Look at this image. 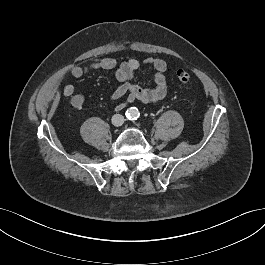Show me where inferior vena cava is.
I'll use <instances>...</instances> for the list:
<instances>
[{"instance_id": "obj_1", "label": "inferior vena cava", "mask_w": 265, "mask_h": 265, "mask_svg": "<svg viewBox=\"0 0 265 265\" xmlns=\"http://www.w3.org/2000/svg\"><path fill=\"white\" fill-rule=\"evenodd\" d=\"M112 123L115 126H121L124 123V117L120 114H115L112 117Z\"/></svg>"}]
</instances>
